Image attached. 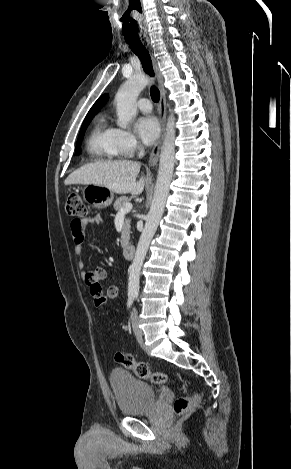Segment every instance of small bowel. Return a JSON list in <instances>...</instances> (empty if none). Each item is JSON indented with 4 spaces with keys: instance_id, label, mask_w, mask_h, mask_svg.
<instances>
[{
    "instance_id": "1",
    "label": "small bowel",
    "mask_w": 291,
    "mask_h": 469,
    "mask_svg": "<svg viewBox=\"0 0 291 469\" xmlns=\"http://www.w3.org/2000/svg\"><path fill=\"white\" fill-rule=\"evenodd\" d=\"M101 221L100 216H95L86 219H74L70 223V229L72 234V240L74 244V252L76 255L81 256L82 254V244L85 239V230L89 224L95 223L98 224ZM79 269H83L84 263L82 260H79L77 263ZM107 276L106 270L102 267H97L91 272L85 273V281L89 287L90 293L93 299L98 296L100 293H103L100 281L104 280ZM119 289L116 286H110L107 289L106 301L107 298L115 299L118 297Z\"/></svg>"
}]
</instances>
